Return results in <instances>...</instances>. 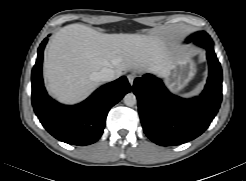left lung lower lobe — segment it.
Segmentation results:
<instances>
[{
	"instance_id": "0a47b994",
	"label": "left lung lower lobe",
	"mask_w": 246,
	"mask_h": 181,
	"mask_svg": "<svg viewBox=\"0 0 246 181\" xmlns=\"http://www.w3.org/2000/svg\"><path fill=\"white\" fill-rule=\"evenodd\" d=\"M195 43L207 51L209 77L200 96L178 98L168 92L162 81L146 74L133 85L138 110L146 135L161 146H174L201 135L218 112L222 100V70L211 38Z\"/></svg>"
}]
</instances>
